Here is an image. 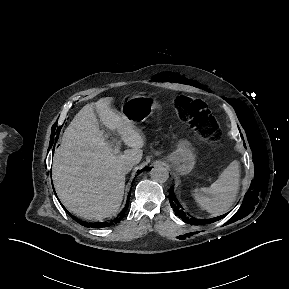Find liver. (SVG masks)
Instances as JSON below:
<instances>
[{"instance_id": "1", "label": "liver", "mask_w": 289, "mask_h": 289, "mask_svg": "<svg viewBox=\"0 0 289 289\" xmlns=\"http://www.w3.org/2000/svg\"><path fill=\"white\" fill-rule=\"evenodd\" d=\"M110 104V98H103L85 105L66 128L53 158L52 179L58 198L68 211L87 220L100 221L118 212L125 186L122 166L138 164L143 156L142 135ZM95 111L102 124L116 131L131 149L122 155L114 153Z\"/></svg>"}]
</instances>
